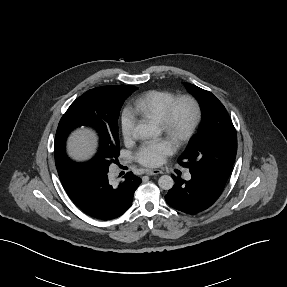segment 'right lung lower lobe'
Masks as SVG:
<instances>
[{
  "instance_id": "98d812e1",
  "label": "right lung lower lobe",
  "mask_w": 287,
  "mask_h": 287,
  "mask_svg": "<svg viewBox=\"0 0 287 287\" xmlns=\"http://www.w3.org/2000/svg\"><path fill=\"white\" fill-rule=\"evenodd\" d=\"M59 178L73 202L89 216L111 220L121 216L132 205L133 195L141 178L132 172L124 181L111 185L108 172L95 168L57 166Z\"/></svg>"
}]
</instances>
